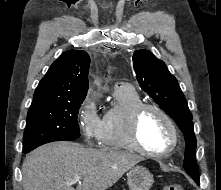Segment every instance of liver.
Masks as SVG:
<instances>
[{"instance_id": "6515ba94", "label": "liver", "mask_w": 221, "mask_h": 190, "mask_svg": "<svg viewBox=\"0 0 221 190\" xmlns=\"http://www.w3.org/2000/svg\"><path fill=\"white\" fill-rule=\"evenodd\" d=\"M143 157L112 148H86L66 141L40 146L22 164L24 190H106ZM83 181L76 189L72 179Z\"/></svg>"}]
</instances>
